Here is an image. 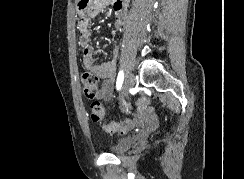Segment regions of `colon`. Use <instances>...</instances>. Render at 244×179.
Instances as JSON below:
<instances>
[{
    "label": "colon",
    "instance_id": "obj_1",
    "mask_svg": "<svg viewBox=\"0 0 244 179\" xmlns=\"http://www.w3.org/2000/svg\"><path fill=\"white\" fill-rule=\"evenodd\" d=\"M81 82L83 85V92L86 97H88L89 93L95 94L100 84L99 77L88 70L82 72ZM152 101L151 96L147 95L146 98H139V102H133V107H135V110H149L150 103H152ZM90 113L91 119L94 122L105 123L106 110L100 101L95 100L94 105L90 106ZM132 126L133 124L131 121H128L125 124L122 122H111L104 124L105 130L110 133L125 132L131 129Z\"/></svg>",
    "mask_w": 244,
    "mask_h": 179
}]
</instances>
